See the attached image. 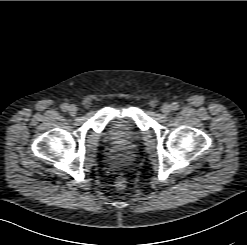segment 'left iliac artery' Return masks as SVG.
<instances>
[{
    "instance_id": "44dca946",
    "label": "left iliac artery",
    "mask_w": 247,
    "mask_h": 245,
    "mask_svg": "<svg viewBox=\"0 0 247 245\" xmlns=\"http://www.w3.org/2000/svg\"><path fill=\"white\" fill-rule=\"evenodd\" d=\"M171 107H172V110L176 111V110H178L179 105H178L177 102H174V103H172V106Z\"/></svg>"
}]
</instances>
